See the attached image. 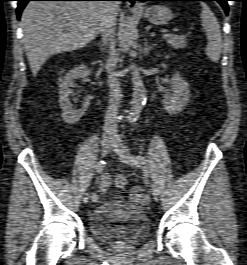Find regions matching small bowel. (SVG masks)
<instances>
[{"label": "small bowel", "instance_id": "1", "mask_svg": "<svg viewBox=\"0 0 247 265\" xmlns=\"http://www.w3.org/2000/svg\"><path fill=\"white\" fill-rule=\"evenodd\" d=\"M111 177L104 173L100 176V190L105 192L111 185ZM128 200L135 204L145 205L149 202V196L144 192V188L140 185H136L131 188L128 195Z\"/></svg>", "mask_w": 247, "mask_h": 265}]
</instances>
